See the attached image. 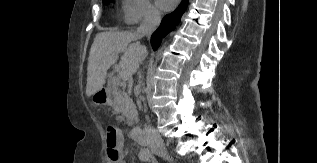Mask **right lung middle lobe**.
<instances>
[{"label":"right lung middle lobe","instance_id":"right-lung-middle-lobe-1","mask_svg":"<svg viewBox=\"0 0 317 163\" xmlns=\"http://www.w3.org/2000/svg\"><path fill=\"white\" fill-rule=\"evenodd\" d=\"M105 4H109L110 2H112V0H102Z\"/></svg>","mask_w":317,"mask_h":163}]
</instances>
